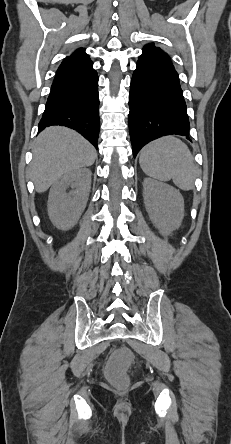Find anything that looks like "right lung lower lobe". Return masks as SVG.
I'll return each mask as SVG.
<instances>
[{
    "label": "right lung lower lobe",
    "mask_w": 231,
    "mask_h": 444,
    "mask_svg": "<svg viewBox=\"0 0 231 444\" xmlns=\"http://www.w3.org/2000/svg\"><path fill=\"white\" fill-rule=\"evenodd\" d=\"M51 125L75 129L98 148V76L92 65L79 72L55 76L39 131Z\"/></svg>",
    "instance_id": "1"
}]
</instances>
